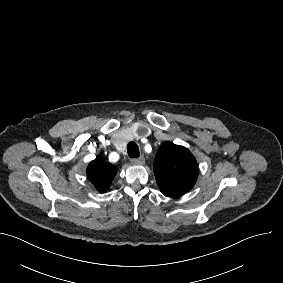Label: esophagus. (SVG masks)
<instances>
[{
    "label": "esophagus",
    "mask_w": 283,
    "mask_h": 283,
    "mask_svg": "<svg viewBox=\"0 0 283 283\" xmlns=\"http://www.w3.org/2000/svg\"><path fill=\"white\" fill-rule=\"evenodd\" d=\"M130 162L133 165H143L145 163V158L143 156H140L138 158H131Z\"/></svg>",
    "instance_id": "1"
}]
</instances>
